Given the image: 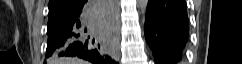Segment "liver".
I'll return each instance as SVG.
<instances>
[{
    "mask_svg": "<svg viewBox=\"0 0 242 64\" xmlns=\"http://www.w3.org/2000/svg\"><path fill=\"white\" fill-rule=\"evenodd\" d=\"M56 62L57 64H87L86 61L76 58H61L58 59Z\"/></svg>",
    "mask_w": 242,
    "mask_h": 64,
    "instance_id": "6515ba94",
    "label": "liver"
}]
</instances>
